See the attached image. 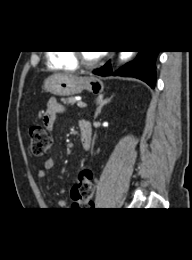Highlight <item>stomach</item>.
Masks as SVG:
<instances>
[{"mask_svg":"<svg viewBox=\"0 0 192 260\" xmlns=\"http://www.w3.org/2000/svg\"><path fill=\"white\" fill-rule=\"evenodd\" d=\"M44 89L57 96H72L87 90L93 94H100L104 85L102 81L94 76L67 77L60 74L49 76L44 81Z\"/></svg>","mask_w":192,"mask_h":260,"instance_id":"1","label":"stomach"}]
</instances>
